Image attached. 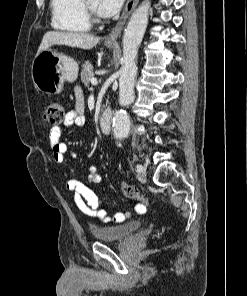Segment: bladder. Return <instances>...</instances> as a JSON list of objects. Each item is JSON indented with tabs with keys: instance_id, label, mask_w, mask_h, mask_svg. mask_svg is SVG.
<instances>
[{
	"instance_id": "obj_1",
	"label": "bladder",
	"mask_w": 247,
	"mask_h": 296,
	"mask_svg": "<svg viewBox=\"0 0 247 296\" xmlns=\"http://www.w3.org/2000/svg\"><path fill=\"white\" fill-rule=\"evenodd\" d=\"M142 226L139 220H132L123 224L113 226L92 227V235L102 242H113L124 240L138 231Z\"/></svg>"
}]
</instances>
